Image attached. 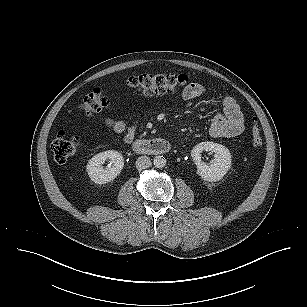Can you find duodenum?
<instances>
[{"label":"duodenum","mask_w":307,"mask_h":307,"mask_svg":"<svg viewBox=\"0 0 307 307\" xmlns=\"http://www.w3.org/2000/svg\"><path fill=\"white\" fill-rule=\"evenodd\" d=\"M132 147L136 152L150 155H164L170 151V145L163 138L138 139Z\"/></svg>","instance_id":"duodenum-1"}]
</instances>
